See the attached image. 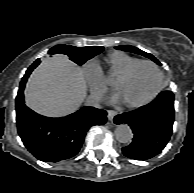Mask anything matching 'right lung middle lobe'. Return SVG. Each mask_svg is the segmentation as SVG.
<instances>
[{"label":"right lung middle lobe","instance_id":"dd1d6c3e","mask_svg":"<svg viewBox=\"0 0 194 193\" xmlns=\"http://www.w3.org/2000/svg\"><path fill=\"white\" fill-rule=\"evenodd\" d=\"M103 49V47L78 48L68 45H56L50 51L53 54H65L73 62L77 63L78 65H82L87 60L102 52Z\"/></svg>","mask_w":194,"mask_h":193}]
</instances>
